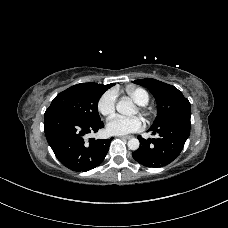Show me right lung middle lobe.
<instances>
[{"instance_id":"obj_1","label":"right lung middle lobe","mask_w":228,"mask_h":228,"mask_svg":"<svg viewBox=\"0 0 228 228\" xmlns=\"http://www.w3.org/2000/svg\"><path fill=\"white\" fill-rule=\"evenodd\" d=\"M97 83H81L59 93L46 112L61 111L86 122L100 121L98 101L107 90Z\"/></svg>"}]
</instances>
